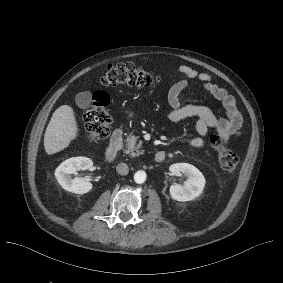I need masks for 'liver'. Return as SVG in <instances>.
Instances as JSON below:
<instances>
[{
	"label": "liver",
	"mask_w": 283,
	"mask_h": 283,
	"mask_svg": "<svg viewBox=\"0 0 283 283\" xmlns=\"http://www.w3.org/2000/svg\"><path fill=\"white\" fill-rule=\"evenodd\" d=\"M78 128L73 109L68 105L57 108L44 134V148L51 155L68 147L77 136Z\"/></svg>",
	"instance_id": "liver-1"
}]
</instances>
